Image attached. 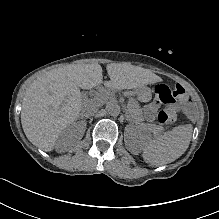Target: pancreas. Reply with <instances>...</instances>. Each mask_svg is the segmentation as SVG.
Wrapping results in <instances>:
<instances>
[{
	"label": "pancreas",
	"instance_id": "cf45deb5",
	"mask_svg": "<svg viewBox=\"0 0 219 219\" xmlns=\"http://www.w3.org/2000/svg\"><path fill=\"white\" fill-rule=\"evenodd\" d=\"M115 94L117 97H121L122 99H127V116L129 120H132L134 122H141L143 120V113L141 112V106L139 104H136L135 99V92L133 90H123L121 87H114L113 85H108L104 89V94L106 96H111L112 94ZM146 128L153 132L154 134L160 133L163 130L162 126L155 125V124H147Z\"/></svg>",
	"mask_w": 219,
	"mask_h": 219
}]
</instances>
